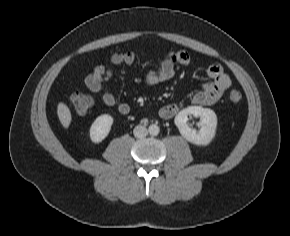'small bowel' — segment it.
Wrapping results in <instances>:
<instances>
[{
    "label": "small bowel",
    "instance_id": "1",
    "mask_svg": "<svg viewBox=\"0 0 290 236\" xmlns=\"http://www.w3.org/2000/svg\"><path fill=\"white\" fill-rule=\"evenodd\" d=\"M111 67L104 65L97 66L93 72L88 74L85 78L87 88L93 93H102V100L106 106H114L116 103L114 95L104 90V83L113 78L115 70L113 66L127 65L134 66L136 62V55L131 52H117L111 56ZM191 56L186 51H173L158 62L157 69L150 71L145 83L148 85H155L171 79L174 75L175 66H186L190 63ZM207 74L210 77L209 82H205L202 89L193 94L191 101L195 105L208 106L218 102L223 94L229 89L231 79L224 71L220 63H213L207 68ZM118 111L122 115H126L130 111V107L126 103L118 106ZM179 111L177 104L170 103L161 107L158 111V116L163 119L173 118Z\"/></svg>",
    "mask_w": 290,
    "mask_h": 236
}]
</instances>
